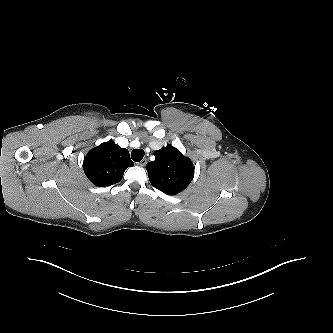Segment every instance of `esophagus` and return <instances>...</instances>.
I'll return each instance as SVG.
<instances>
[{"label":"esophagus","instance_id":"1","mask_svg":"<svg viewBox=\"0 0 333 333\" xmlns=\"http://www.w3.org/2000/svg\"><path fill=\"white\" fill-rule=\"evenodd\" d=\"M146 164H147V159H146V158L142 159V160L138 163V165L141 166V167H144Z\"/></svg>","mask_w":333,"mask_h":333}]
</instances>
